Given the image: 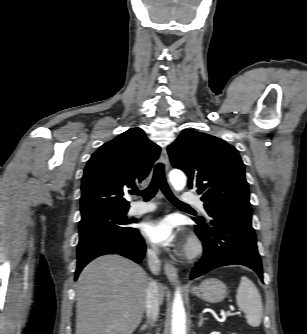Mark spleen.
<instances>
[{
	"instance_id": "obj_1",
	"label": "spleen",
	"mask_w": 307,
	"mask_h": 334,
	"mask_svg": "<svg viewBox=\"0 0 307 334\" xmlns=\"http://www.w3.org/2000/svg\"><path fill=\"white\" fill-rule=\"evenodd\" d=\"M237 305L244 311L247 323L252 327L261 324L263 305L255 284L247 277H241L236 294Z\"/></svg>"
}]
</instances>
